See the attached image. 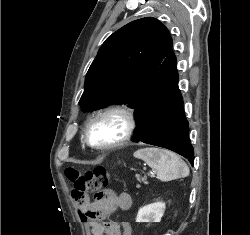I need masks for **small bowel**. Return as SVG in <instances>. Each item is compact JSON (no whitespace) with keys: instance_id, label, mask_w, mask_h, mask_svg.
Instances as JSON below:
<instances>
[{"instance_id":"c3829d8e","label":"small bowel","mask_w":250,"mask_h":235,"mask_svg":"<svg viewBox=\"0 0 250 235\" xmlns=\"http://www.w3.org/2000/svg\"><path fill=\"white\" fill-rule=\"evenodd\" d=\"M132 206V198L128 193L106 192L101 201H84L78 204V212L83 222L90 228L91 235H131L128 223L100 222L96 213L106 215L111 211H127Z\"/></svg>"}]
</instances>
